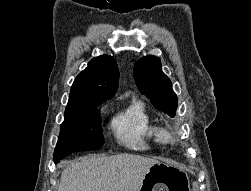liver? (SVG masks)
I'll use <instances>...</instances> for the list:
<instances>
[{
	"label": "liver",
	"instance_id": "liver-1",
	"mask_svg": "<svg viewBox=\"0 0 251 191\" xmlns=\"http://www.w3.org/2000/svg\"><path fill=\"white\" fill-rule=\"evenodd\" d=\"M158 157L133 153L86 155L80 161H61L58 191H139L150 167Z\"/></svg>",
	"mask_w": 251,
	"mask_h": 191
}]
</instances>
